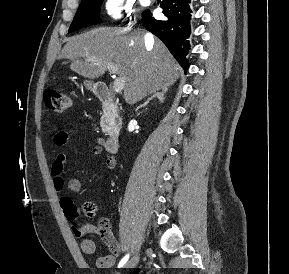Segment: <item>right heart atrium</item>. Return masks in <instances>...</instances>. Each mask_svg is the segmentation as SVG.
I'll return each instance as SVG.
<instances>
[{"label":"right heart atrium","mask_w":289,"mask_h":274,"mask_svg":"<svg viewBox=\"0 0 289 274\" xmlns=\"http://www.w3.org/2000/svg\"><path fill=\"white\" fill-rule=\"evenodd\" d=\"M103 11L113 21H129L134 16V4L131 0H104Z\"/></svg>","instance_id":"d8ad5b80"}]
</instances>
